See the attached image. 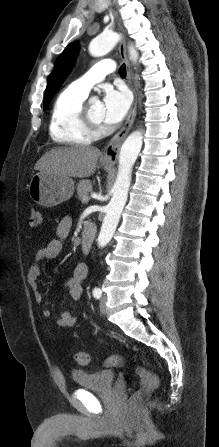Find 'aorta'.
<instances>
[{
	"label": "aorta",
	"instance_id": "aorta-1",
	"mask_svg": "<svg viewBox=\"0 0 219 447\" xmlns=\"http://www.w3.org/2000/svg\"><path fill=\"white\" fill-rule=\"evenodd\" d=\"M120 39L113 31H104L89 44V52L94 57L104 56L110 52ZM130 58L138 59V53L133 46L129 47ZM143 135L139 130L133 131L124 141L119 153L118 173L113 186V196L106 207L105 217L98 237V245L104 247L111 240L118 225L121 213L126 204L131 183L133 165L140 153Z\"/></svg>",
	"mask_w": 219,
	"mask_h": 447
}]
</instances>
